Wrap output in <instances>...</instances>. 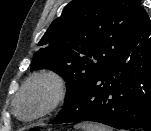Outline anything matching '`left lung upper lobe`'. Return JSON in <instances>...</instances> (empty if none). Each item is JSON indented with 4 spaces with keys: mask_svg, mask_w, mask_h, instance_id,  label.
Wrapping results in <instances>:
<instances>
[{
    "mask_svg": "<svg viewBox=\"0 0 151 131\" xmlns=\"http://www.w3.org/2000/svg\"><path fill=\"white\" fill-rule=\"evenodd\" d=\"M141 7V0L71 1L40 40L31 71L48 68L63 76L66 104L89 79L125 56Z\"/></svg>",
    "mask_w": 151,
    "mask_h": 131,
    "instance_id": "5c2ea615",
    "label": "left lung upper lobe"
}]
</instances>
